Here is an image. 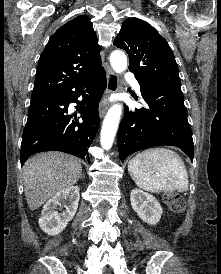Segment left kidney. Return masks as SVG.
I'll list each match as a JSON object with an SVG mask.
<instances>
[{"label": "left kidney", "mask_w": 221, "mask_h": 274, "mask_svg": "<svg viewBox=\"0 0 221 274\" xmlns=\"http://www.w3.org/2000/svg\"><path fill=\"white\" fill-rule=\"evenodd\" d=\"M131 205L137 215L149 225H156L163 209L157 199L140 189H133L130 195Z\"/></svg>", "instance_id": "left-kidney-1"}]
</instances>
